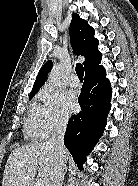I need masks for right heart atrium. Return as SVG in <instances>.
I'll return each mask as SVG.
<instances>
[{
  "label": "right heart atrium",
  "mask_w": 138,
  "mask_h": 186,
  "mask_svg": "<svg viewBox=\"0 0 138 186\" xmlns=\"http://www.w3.org/2000/svg\"><path fill=\"white\" fill-rule=\"evenodd\" d=\"M39 99L41 101L39 119L45 133L49 135L64 129L68 117L63 108L62 95L46 87L40 92Z\"/></svg>",
  "instance_id": "1"
}]
</instances>
